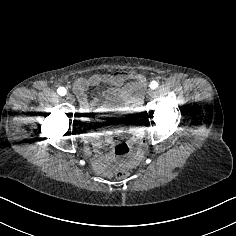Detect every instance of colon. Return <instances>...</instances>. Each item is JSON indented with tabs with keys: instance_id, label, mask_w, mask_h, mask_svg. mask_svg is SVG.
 <instances>
[{
	"instance_id": "colon-1",
	"label": "colon",
	"mask_w": 236,
	"mask_h": 236,
	"mask_svg": "<svg viewBox=\"0 0 236 236\" xmlns=\"http://www.w3.org/2000/svg\"><path fill=\"white\" fill-rule=\"evenodd\" d=\"M130 173L126 169H119L115 172V176L119 180H124L128 178Z\"/></svg>"
}]
</instances>
